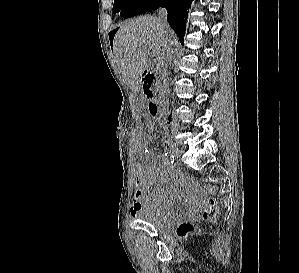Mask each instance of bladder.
Here are the masks:
<instances>
[{
  "instance_id": "1",
  "label": "bladder",
  "mask_w": 299,
  "mask_h": 273,
  "mask_svg": "<svg viewBox=\"0 0 299 273\" xmlns=\"http://www.w3.org/2000/svg\"><path fill=\"white\" fill-rule=\"evenodd\" d=\"M137 219L157 230H164L174 224L178 220V216L174 214L158 215L148 210H142L137 214Z\"/></svg>"
}]
</instances>
